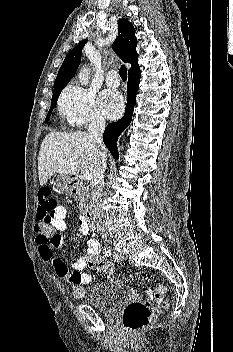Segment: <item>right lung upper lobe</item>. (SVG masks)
<instances>
[{
	"label": "right lung upper lobe",
	"instance_id": "cb5924a9",
	"mask_svg": "<svg viewBox=\"0 0 233 352\" xmlns=\"http://www.w3.org/2000/svg\"><path fill=\"white\" fill-rule=\"evenodd\" d=\"M87 40L76 45L66 56L57 74L54 89L64 88L73 78L81 62V52ZM137 38L135 29L127 19L118 20V36L113 43V50L124 62L131 64L129 75L140 72L138 53L136 52Z\"/></svg>",
	"mask_w": 233,
	"mask_h": 352
}]
</instances>
